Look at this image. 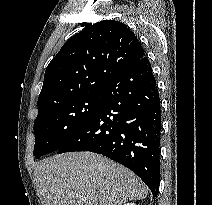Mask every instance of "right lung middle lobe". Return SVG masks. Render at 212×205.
Segmentation results:
<instances>
[{
  "label": "right lung middle lobe",
  "mask_w": 212,
  "mask_h": 205,
  "mask_svg": "<svg viewBox=\"0 0 212 205\" xmlns=\"http://www.w3.org/2000/svg\"><path fill=\"white\" fill-rule=\"evenodd\" d=\"M101 102V92L86 94L38 116L34 122L35 157L57 151L92 116Z\"/></svg>",
  "instance_id": "dd1d6c3e"
}]
</instances>
